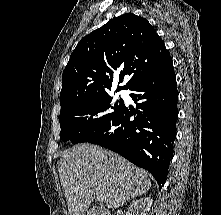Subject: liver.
Masks as SVG:
<instances>
[{
    "label": "liver",
    "mask_w": 221,
    "mask_h": 215,
    "mask_svg": "<svg viewBox=\"0 0 221 215\" xmlns=\"http://www.w3.org/2000/svg\"><path fill=\"white\" fill-rule=\"evenodd\" d=\"M69 215H84L96 194L108 209L147 193V171L99 146L83 144L62 153L58 168Z\"/></svg>",
    "instance_id": "obj_1"
}]
</instances>
